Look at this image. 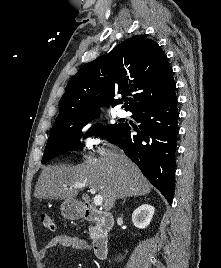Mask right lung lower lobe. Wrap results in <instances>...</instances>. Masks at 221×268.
I'll return each mask as SVG.
<instances>
[{"label": "right lung lower lobe", "mask_w": 221, "mask_h": 268, "mask_svg": "<svg viewBox=\"0 0 221 268\" xmlns=\"http://www.w3.org/2000/svg\"><path fill=\"white\" fill-rule=\"evenodd\" d=\"M178 116L174 93L166 99L136 109L132 117L140 123L139 127L133 129L124 123L107 137L137 164L169 204H172L175 187Z\"/></svg>", "instance_id": "98d812e1"}]
</instances>
